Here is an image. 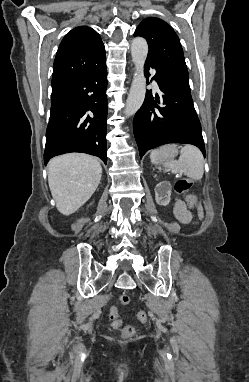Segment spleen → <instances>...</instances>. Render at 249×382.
I'll use <instances>...</instances> for the list:
<instances>
[{
  "label": "spleen",
  "mask_w": 249,
  "mask_h": 382,
  "mask_svg": "<svg viewBox=\"0 0 249 382\" xmlns=\"http://www.w3.org/2000/svg\"><path fill=\"white\" fill-rule=\"evenodd\" d=\"M162 148L151 152V161L158 164L157 158L162 153ZM172 173H184L193 180H199L204 173V157L201 151L193 145H185L181 148L178 160H171L165 164Z\"/></svg>",
  "instance_id": "1"
}]
</instances>
